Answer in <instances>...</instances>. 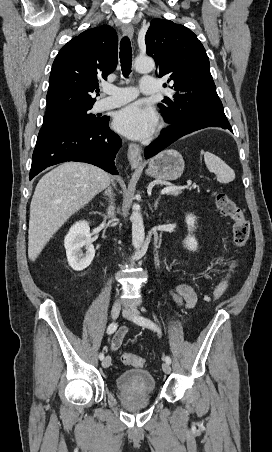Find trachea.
I'll return each mask as SVG.
<instances>
[{
  "label": "trachea",
  "mask_w": 272,
  "mask_h": 452,
  "mask_svg": "<svg viewBox=\"0 0 272 452\" xmlns=\"http://www.w3.org/2000/svg\"><path fill=\"white\" fill-rule=\"evenodd\" d=\"M120 62L124 77H128L131 72L132 49L128 37H123L120 42Z\"/></svg>",
  "instance_id": "1"
}]
</instances>
